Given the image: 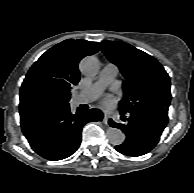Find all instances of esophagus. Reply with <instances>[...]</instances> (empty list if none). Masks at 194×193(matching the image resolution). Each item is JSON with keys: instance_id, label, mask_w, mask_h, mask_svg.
I'll return each instance as SVG.
<instances>
[{"instance_id": "esophagus-1", "label": "esophagus", "mask_w": 194, "mask_h": 193, "mask_svg": "<svg viewBox=\"0 0 194 193\" xmlns=\"http://www.w3.org/2000/svg\"><path fill=\"white\" fill-rule=\"evenodd\" d=\"M109 116L107 114H104L103 122L105 124H108Z\"/></svg>"}]
</instances>
